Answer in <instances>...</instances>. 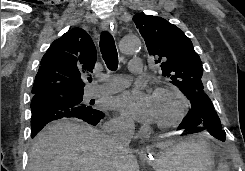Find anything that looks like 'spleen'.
Wrapping results in <instances>:
<instances>
[{
    "label": "spleen",
    "instance_id": "obj_1",
    "mask_svg": "<svg viewBox=\"0 0 245 171\" xmlns=\"http://www.w3.org/2000/svg\"><path fill=\"white\" fill-rule=\"evenodd\" d=\"M216 171H230V170L226 164L219 163Z\"/></svg>",
    "mask_w": 245,
    "mask_h": 171
}]
</instances>
